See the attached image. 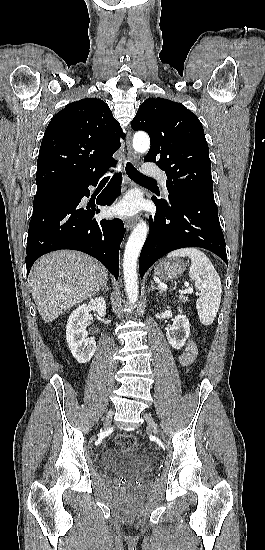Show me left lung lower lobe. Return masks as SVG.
Segmentation results:
<instances>
[{
	"label": "left lung lower lobe",
	"instance_id": "1",
	"mask_svg": "<svg viewBox=\"0 0 265 550\" xmlns=\"http://www.w3.org/2000/svg\"><path fill=\"white\" fill-rule=\"evenodd\" d=\"M156 213L149 217L150 232L139 258V272H145L166 253L184 247L208 249L228 265L225 240L218 211L192 201L163 204L152 197Z\"/></svg>",
	"mask_w": 265,
	"mask_h": 550
}]
</instances>
